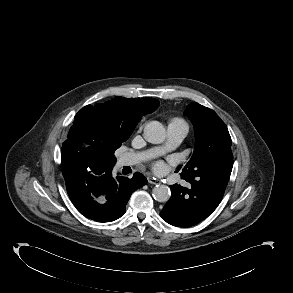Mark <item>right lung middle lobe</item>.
Segmentation results:
<instances>
[{
    "instance_id": "obj_1",
    "label": "right lung middle lobe",
    "mask_w": 293,
    "mask_h": 293,
    "mask_svg": "<svg viewBox=\"0 0 293 293\" xmlns=\"http://www.w3.org/2000/svg\"><path fill=\"white\" fill-rule=\"evenodd\" d=\"M124 142V140H110L109 142H103L102 145H99L98 149H96L92 156L94 159H103L106 160L109 163L115 164L116 158L114 156V152L117 148L121 146V143Z\"/></svg>"
}]
</instances>
